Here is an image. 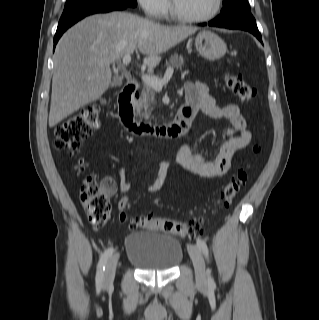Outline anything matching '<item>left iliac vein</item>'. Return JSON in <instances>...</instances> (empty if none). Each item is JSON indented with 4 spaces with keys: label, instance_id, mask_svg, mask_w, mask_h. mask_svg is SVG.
<instances>
[{
    "label": "left iliac vein",
    "instance_id": "1",
    "mask_svg": "<svg viewBox=\"0 0 319 320\" xmlns=\"http://www.w3.org/2000/svg\"><path fill=\"white\" fill-rule=\"evenodd\" d=\"M188 252L190 254L195 268V276L197 283L201 286L206 285L207 275L205 271V262L201 250L195 244H188Z\"/></svg>",
    "mask_w": 319,
    "mask_h": 320
}]
</instances>
